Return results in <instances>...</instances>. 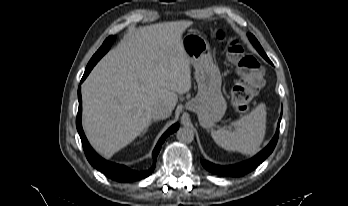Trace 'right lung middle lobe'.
<instances>
[{
  "label": "right lung middle lobe",
  "mask_w": 348,
  "mask_h": 206,
  "mask_svg": "<svg viewBox=\"0 0 348 206\" xmlns=\"http://www.w3.org/2000/svg\"><path fill=\"white\" fill-rule=\"evenodd\" d=\"M114 38H115L114 36L108 37V38L104 41L103 45H102L100 48H101V49H107V50H109L111 44H112L113 41H114Z\"/></svg>",
  "instance_id": "right-lung-middle-lobe-1"
}]
</instances>
